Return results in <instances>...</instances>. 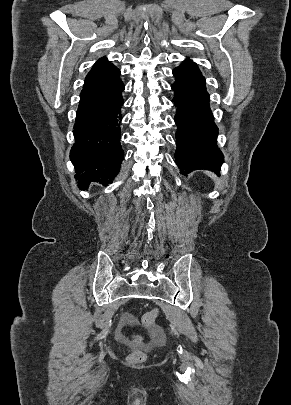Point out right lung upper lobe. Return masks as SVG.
Masks as SVG:
<instances>
[{"mask_svg":"<svg viewBox=\"0 0 291 405\" xmlns=\"http://www.w3.org/2000/svg\"><path fill=\"white\" fill-rule=\"evenodd\" d=\"M118 71L119 69L109 62L107 58H101L86 76L84 85L114 75Z\"/></svg>","mask_w":291,"mask_h":405,"instance_id":"cb5924a9","label":"right lung upper lobe"}]
</instances>
